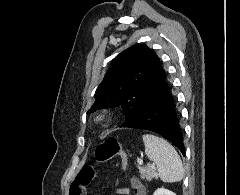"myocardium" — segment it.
Here are the masks:
<instances>
[{
	"instance_id": "f54148a6",
	"label": "myocardium",
	"mask_w": 240,
	"mask_h": 195,
	"mask_svg": "<svg viewBox=\"0 0 240 195\" xmlns=\"http://www.w3.org/2000/svg\"><path fill=\"white\" fill-rule=\"evenodd\" d=\"M99 119H100L99 117H98V118H96V121H97V120H99Z\"/></svg>"
}]
</instances>
